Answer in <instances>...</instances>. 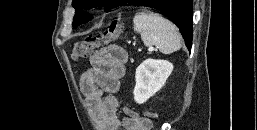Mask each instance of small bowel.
<instances>
[{
  "label": "small bowel",
  "mask_w": 257,
  "mask_h": 130,
  "mask_svg": "<svg viewBox=\"0 0 257 130\" xmlns=\"http://www.w3.org/2000/svg\"><path fill=\"white\" fill-rule=\"evenodd\" d=\"M126 52L118 46L96 51L90 58L91 67L80 78V89L101 130H150L151 121L140 118L129 107L123 108L124 118L117 116L118 102L114 96L125 75ZM104 94H107L104 97Z\"/></svg>",
  "instance_id": "small-bowel-1"
}]
</instances>
